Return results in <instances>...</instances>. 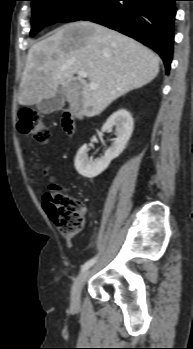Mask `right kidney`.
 Segmentation results:
<instances>
[{
    "mask_svg": "<svg viewBox=\"0 0 193 349\" xmlns=\"http://www.w3.org/2000/svg\"><path fill=\"white\" fill-rule=\"evenodd\" d=\"M113 127H115L116 138L103 157L89 160L86 144L78 150L74 160V166L80 175L87 178L98 176L106 170L111 161L117 158L126 148L134 127L131 114L126 109H119L107 119L102 127V131H108Z\"/></svg>",
    "mask_w": 193,
    "mask_h": 349,
    "instance_id": "obj_1",
    "label": "right kidney"
}]
</instances>
